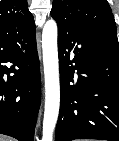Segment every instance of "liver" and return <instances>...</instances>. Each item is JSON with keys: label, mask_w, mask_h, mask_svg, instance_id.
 Listing matches in <instances>:
<instances>
[{"label": "liver", "mask_w": 119, "mask_h": 141, "mask_svg": "<svg viewBox=\"0 0 119 141\" xmlns=\"http://www.w3.org/2000/svg\"><path fill=\"white\" fill-rule=\"evenodd\" d=\"M0 141H12L11 138L4 137L0 135Z\"/></svg>", "instance_id": "obj_1"}]
</instances>
